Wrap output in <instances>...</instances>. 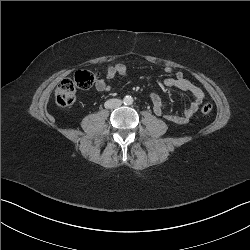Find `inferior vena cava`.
<instances>
[{"label": "inferior vena cava", "instance_id": "inferior-vena-cava-1", "mask_svg": "<svg viewBox=\"0 0 250 250\" xmlns=\"http://www.w3.org/2000/svg\"><path fill=\"white\" fill-rule=\"evenodd\" d=\"M122 105V101L120 99H110L105 102V107L109 109H115Z\"/></svg>", "mask_w": 250, "mask_h": 250}]
</instances>
